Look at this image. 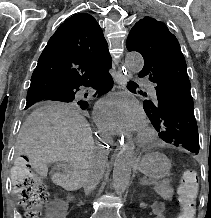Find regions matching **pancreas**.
<instances>
[{"instance_id": "cf45deb5", "label": "pancreas", "mask_w": 211, "mask_h": 218, "mask_svg": "<svg viewBox=\"0 0 211 218\" xmlns=\"http://www.w3.org/2000/svg\"><path fill=\"white\" fill-rule=\"evenodd\" d=\"M154 184V190L161 198H164V200H172L174 190L169 186L170 180H162V182H154Z\"/></svg>"}]
</instances>
